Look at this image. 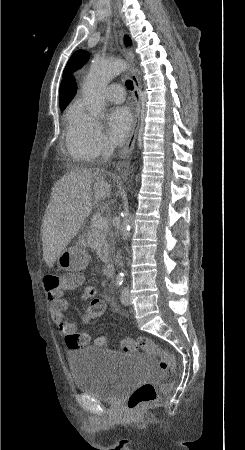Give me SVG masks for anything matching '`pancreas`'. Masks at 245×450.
<instances>
[{
  "label": "pancreas",
  "mask_w": 245,
  "mask_h": 450,
  "mask_svg": "<svg viewBox=\"0 0 245 450\" xmlns=\"http://www.w3.org/2000/svg\"><path fill=\"white\" fill-rule=\"evenodd\" d=\"M86 239L88 245L96 251L101 261L108 262L114 242L112 231L108 228L100 230L92 224L87 231Z\"/></svg>",
  "instance_id": "1"
}]
</instances>
